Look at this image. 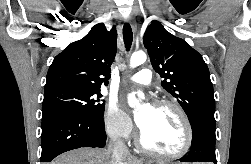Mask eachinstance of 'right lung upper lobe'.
Returning a JSON list of instances; mask_svg holds the SVG:
<instances>
[{"label": "right lung upper lobe", "mask_w": 251, "mask_h": 164, "mask_svg": "<svg viewBox=\"0 0 251 164\" xmlns=\"http://www.w3.org/2000/svg\"><path fill=\"white\" fill-rule=\"evenodd\" d=\"M117 31H107L103 23L93 26L81 40L58 54L47 73L44 91L73 87L100 91L108 84L110 67L116 54Z\"/></svg>", "instance_id": "obj_1"}]
</instances>
